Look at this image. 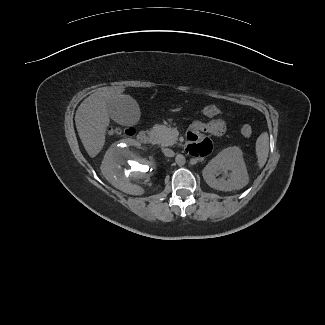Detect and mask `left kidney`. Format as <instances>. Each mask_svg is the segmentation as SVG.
<instances>
[{"mask_svg":"<svg viewBox=\"0 0 325 325\" xmlns=\"http://www.w3.org/2000/svg\"><path fill=\"white\" fill-rule=\"evenodd\" d=\"M220 171H230L227 179L217 178ZM206 183L220 191L243 188L249 181L242 151L239 147H228L218 153L203 169Z\"/></svg>","mask_w":325,"mask_h":325,"instance_id":"obj_1","label":"left kidney"}]
</instances>
